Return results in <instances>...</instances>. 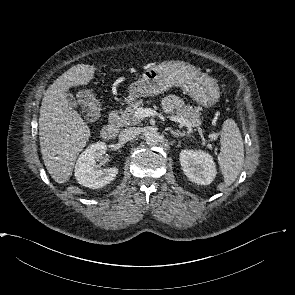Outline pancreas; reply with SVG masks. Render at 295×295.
I'll return each mask as SVG.
<instances>
[{"label":"pancreas","mask_w":295,"mask_h":295,"mask_svg":"<svg viewBox=\"0 0 295 295\" xmlns=\"http://www.w3.org/2000/svg\"><path fill=\"white\" fill-rule=\"evenodd\" d=\"M143 105L144 102L142 99L131 102L125 110L121 111V116L118 118V125L122 127L139 124L141 118L137 117L135 112L138 108H142ZM176 113L192 123L195 127L201 124V113L198 109L193 108L190 105H185L184 107L177 109Z\"/></svg>","instance_id":"1"}]
</instances>
